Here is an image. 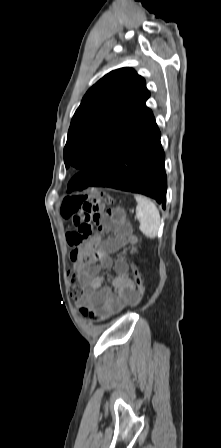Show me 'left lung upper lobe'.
Returning a JSON list of instances; mask_svg holds the SVG:
<instances>
[{
  "label": "left lung upper lobe",
  "instance_id": "obj_1",
  "mask_svg": "<svg viewBox=\"0 0 221 448\" xmlns=\"http://www.w3.org/2000/svg\"><path fill=\"white\" fill-rule=\"evenodd\" d=\"M144 78L132 68L106 74L85 94L76 110L64 148L66 168L100 166L152 113Z\"/></svg>",
  "mask_w": 221,
  "mask_h": 448
}]
</instances>
